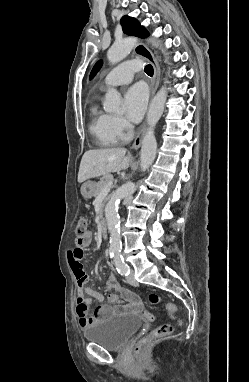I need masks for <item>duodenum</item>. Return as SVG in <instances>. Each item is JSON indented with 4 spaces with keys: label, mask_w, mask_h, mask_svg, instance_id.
<instances>
[{
    "label": "duodenum",
    "mask_w": 249,
    "mask_h": 382,
    "mask_svg": "<svg viewBox=\"0 0 249 382\" xmlns=\"http://www.w3.org/2000/svg\"><path fill=\"white\" fill-rule=\"evenodd\" d=\"M99 230L100 233L103 237L108 236V226H107V221L105 217H102L99 222Z\"/></svg>",
    "instance_id": "410a0bca"
}]
</instances>
